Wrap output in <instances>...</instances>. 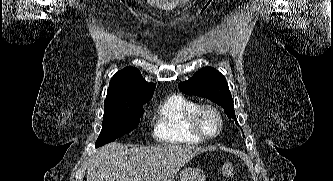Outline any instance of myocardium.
Returning a JSON list of instances; mask_svg holds the SVG:
<instances>
[{"instance_id":"f54148a6","label":"myocardium","mask_w":333,"mask_h":181,"mask_svg":"<svg viewBox=\"0 0 333 181\" xmlns=\"http://www.w3.org/2000/svg\"><path fill=\"white\" fill-rule=\"evenodd\" d=\"M207 112L213 114L218 122L217 131L214 134L206 133L201 126V118ZM222 126L223 120L220 112L216 107L209 104L199 105L191 116L192 130L203 139H211L217 137L222 130Z\"/></svg>"}]
</instances>
